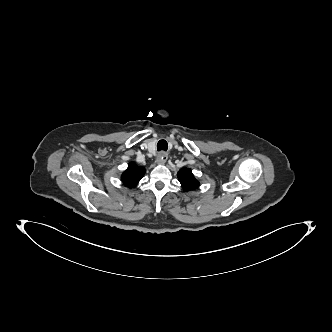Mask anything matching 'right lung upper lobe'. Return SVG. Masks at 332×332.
<instances>
[{
	"mask_svg": "<svg viewBox=\"0 0 332 332\" xmlns=\"http://www.w3.org/2000/svg\"><path fill=\"white\" fill-rule=\"evenodd\" d=\"M144 174L145 169L143 167H139L135 163H129L127 170L121 175V180L127 187L133 188L142 179Z\"/></svg>",
	"mask_w": 332,
	"mask_h": 332,
	"instance_id": "cb5924a9",
	"label": "right lung upper lobe"
}]
</instances>
